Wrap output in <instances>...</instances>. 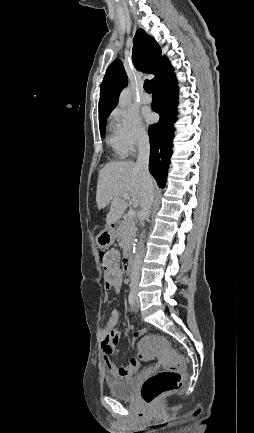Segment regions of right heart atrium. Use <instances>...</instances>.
Segmentation results:
<instances>
[{
	"mask_svg": "<svg viewBox=\"0 0 254 433\" xmlns=\"http://www.w3.org/2000/svg\"><path fill=\"white\" fill-rule=\"evenodd\" d=\"M110 118L112 131L124 155H133L148 142V132L137 112L116 108Z\"/></svg>",
	"mask_w": 254,
	"mask_h": 433,
	"instance_id": "1",
	"label": "right heart atrium"
}]
</instances>
